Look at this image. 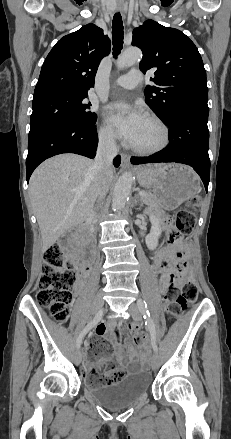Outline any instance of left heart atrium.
Here are the masks:
<instances>
[{"instance_id": "1", "label": "left heart atrium", "mask_w": 231, "mask_h": 439, "mask_svg": "<svg viewBox=\"0 0 231 439\" xmlns=\"http://www.w3.org/2000/svg\"><path fill=\"white\" fill-rule=\"evenodd\" d=\"M107 120L118 135L129 145H133L138 138L146 117L137 108L125 102L110 104L106 109Z\"/></svg>"}]
</instances>
